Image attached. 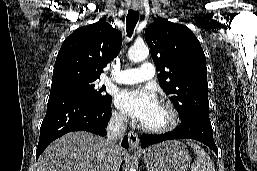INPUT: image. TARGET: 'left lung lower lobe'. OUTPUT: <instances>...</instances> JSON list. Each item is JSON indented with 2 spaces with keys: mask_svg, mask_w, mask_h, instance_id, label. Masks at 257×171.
Instances as JSON below:
<instances>
[{
  "mask_svg": "<svg viewBox=\"0 0 257 171\" xmlns=\"http://www.w3.org/2000/svg\"><path fill=\"white\" fill-rule=\"evenodd\" d=\"M180 138L198 140L207 145L218 155V149L213 139L210 119L209 117L198 115L181 120V124L173 132L162 135H141L140 141L141 147L145 148L152 144Z\"/></svg>",
  "mask_w": 257,
  "mask_h": 171,
  "instance_id": "1",
  "label": "left lung lower lobe"
}]
</instances>
